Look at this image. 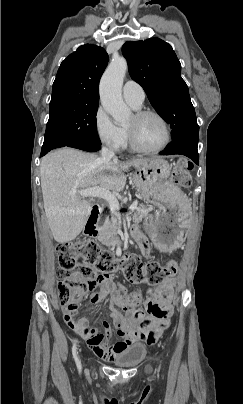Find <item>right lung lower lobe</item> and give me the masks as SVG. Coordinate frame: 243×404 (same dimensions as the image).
<instances>
[{
  "label": "right lung lower lobe",
  "instance_id": "1",
  "mask_svg": "<svg viewBox=\"0 0 243 404\" xmlns=\"http://www.w3.org/2000/svg\"><path fill=\"white\" fill-rule=\"evenodd\" d=\"M101 143H91V142H83V141H77V142H72L69 144L68 147H73L89 152H95L100 149Z\"/></svg>",
  "mask_w": 243,
  "mask_h": 404
}]
</instances>
